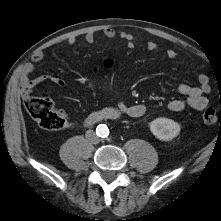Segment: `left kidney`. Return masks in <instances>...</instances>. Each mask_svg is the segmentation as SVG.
<instances>
[{
	"instance_id": "left-kidney-1",
	"label": "left kidney",
	"mask_w": 221,
	"mask_h": 221,
	"mask_svg": "<svg viewBox=\"0 0 221 221\" xmlns=\"http://www.w3.org/2000/svg\"><path fill=\"white\" fill-rule=\"evenodd\" d=\"M152 134L162 141H170L178 136L181 127L180 125L168 118H156L150 123Z\"/></svg>"
}]
</instances>
